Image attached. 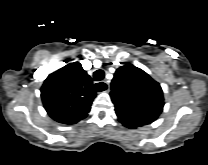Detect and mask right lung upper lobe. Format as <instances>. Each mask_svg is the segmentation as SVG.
I'll return each instance as SVG.
<instances>
[{
  "instance_id": "1",
  "label": "right lung upper lobe",
  "mask_w": 208,
  "mask_h": 165,
  "mask_svg": "<svg viewBox=\"0 0 208 165\" xmlns=\"http://www.w3.org/2000/svg\"><path fill=\"white\" fill-rule=\"evenodd\" d=\"M95 96L92 80L78 62L51 73L41 87V98L48 115L67 125L88 115Z\"/></svg>"
}]
</instances>
